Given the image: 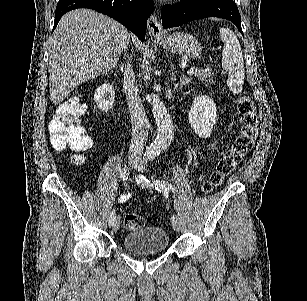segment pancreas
Returning a JSON list of instances; mask_svg holds the SVG:
<instances>
[{
    "instance_id": "cf45deb5",
    "label": "pancreas",
    "mask_w": 307,
    "mask_h": 301,
    "mask_svg": "<svg viewBox=\"0 0 307 301\" xmlns=\"http://www.w3.org/2000/svg\"><path fill=\"white\" fill-rule=\"evenodd\" d=\"M190 76H197L200 78L203 84H215V80H213V72L209 70V68H202V70H197L194 74H190Z\"/></svg>"
}]
</instances>
